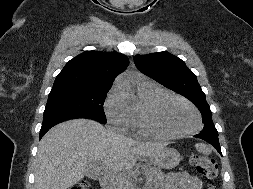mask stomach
I'll use <instances>...</instances> for the list:
<instances>
[{
	"label": "stomach",
	"mask_w": 253,
	"mask_h": 189,
	"mask_svg": "<svg viewBox=\"0 0 253 189\" xmlns=\"http://www.w3.org/2000/svg\"><path fill=\"white\" fill-rule=\"evenodd\" d=\"M180 153L174 148H164L151 158V162L159 168L172 169L179 164Z\"/></svg>",
	"instance_id": "0dacf381"
}]
</instances>
